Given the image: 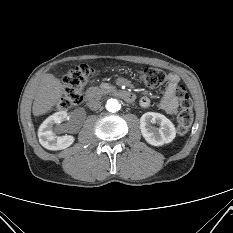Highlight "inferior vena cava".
I'll use <instances>...</instances> for the list:
<instances>
[{"instance_id": "602c4592", "label": "inferior vena cava", "mask_w": 233, "mask_h": 233, "mask_svg": "<svg viewBox=\"0 0 233 233\" xmlns=\"http://www.w3.org/2000/svg\"><path fill=\"white\" fill-rule=\"evenodd\" d=\"M87 106L91 110H98L101 107V102L97 99H91L88 101Z\"/></svg>"}]
</instances>
